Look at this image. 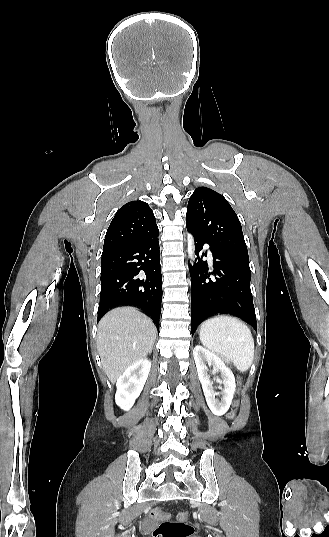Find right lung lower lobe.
I'll list each match as a JSON object with an SVG mask.
<instances>
[{
  "label": "right lung lower lobe",
  "mask_w": 329,
  "mask_h": 537,
  "mask_svg": "<svg viewBox=\"0 0 329 537\" xmlns=\"http://www.w3.org/2000/svg\"><path fill=\"white\" fill-rule=\"evenodd\" d=\"M159 231L130 245L104 250L98 320L118 305H133L152 318L159 328L162 275Z\"/></svg>",
  "instance_id": "obj_1"
}]
</instances>
